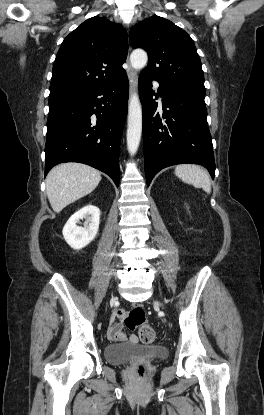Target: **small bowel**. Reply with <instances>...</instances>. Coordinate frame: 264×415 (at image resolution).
Returning a JSON list of instances; mask_svg holds the SVG:
<instances>
[{
    "label": "small bowel",
    "mask_w": 264,
    "mask_h": 415,
    "mask_svg": "<svg viewBox=\"0 0 264 415\" xmlns=\"http://www.w3.org/2000/svg\"><path fill=\"white\" fill-rule=\"evenodd\" d=\"M125 315L124 310L117 311L111 319L110 325L107 329V338L112 343L124 342L127 341V336L123 332V323L122 318ZM131 342H138V338L135 335L129 337Z\"/></svg>",
    "instance_id": "obj_1"
}]
</instances>
